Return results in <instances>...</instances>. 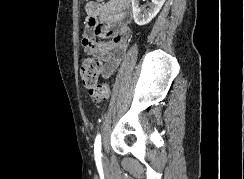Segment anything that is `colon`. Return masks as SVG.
I'll return each instance as SVG.
<instances>
[{"label": "colon", "instance_id": "5ec220e1", "mask_svg": "<svg viewBox=\"0 0 244 179\" xmlns=\"http://www.w3.org/2000/svg\"><path fill=\"white\" fill-rule=\"evenodd\" d=\"M100 62L96 58H88L81 62V80L88 90L89 99L94 104H103L110 97V86L106 83L98 84Z\"/></svg>", "mask_w": 244, "mask_h": 179}]
</instances>
